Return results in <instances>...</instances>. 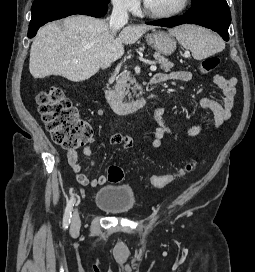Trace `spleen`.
I'll list each match as a JSON object with an SVG mask.
<instances>
[{
	"instance_id": "obj_1",
	"label": "spleen",
	"mask_w": 255,
	"mask_h": 272,
	"mask_svg": "<svg viewBox=\"0 0 255 272\" xmlns=\"http://www.w3.org/2000/svg\"><path fill=\"white\" fill-rule=\"evenodd\" d=\"M178 42L189 49L196 60L221 52L225 43L208 29L196 25H181L170 30Z\"/></svg>"
}]
</instances>
